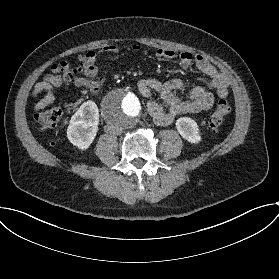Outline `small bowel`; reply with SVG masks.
I'll list each match as a JSON object with an SVG mask.
<instances>
[{
  "label": "small bowel",
  "instance_id": "1",
  "mask_svg": "<svg viewBox=\"0 0 279 279\" xmlns=\"http://www.w3.org/2000/svg\"><path fill=\"white\" fill-rule=\"evenodd\" d=\"M138 49V46L134 47ZM117 46L114 44H104L97 50L91 49L79 56L82 63V76H76L73 80L63 82L62 79L53 74L46 75L42 81L38 82L33 90L32 96L44 93V96L37 99L34 109L39 111L47 108L55 101L53 89L74 85L88 89L91 93H97L101 83L105 80V73L98 68V61L102 54H114ZM155 56L162 60L177 59L179 65L188 69L192 64L206 76L207 88L194 86L190 90L188 100H181L175 95L176 91L183 90L186 83L178 78L162 82L155 78H144L138 81L137 89L139 93L147 99L146 109L149 116L157 125H169L178 116L185 113H195L210 109L214 103V94L219 98H225L229 92V82L227 78L220 74L207 59L198 53L177 52L174 49L162 47L156 50ZM156 94L159 101L151 98Z\"/></svg>",
  "mask_w": 279,
  "mask_h": 279
}]
</instances>
